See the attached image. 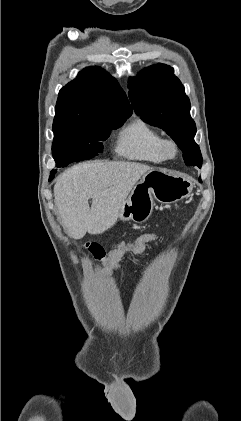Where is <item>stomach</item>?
<instances>
[{"label":"stomach","mask_w":241,"mask_h":421,"mask_svg":"<svg viewBox=\"0 0 241 421\" xmlns=\"http://www.w3.org/2000/svg\"><path fill=\"white\" fill-rule=\"evenodd\" d=\"M192 190L193 181L189 177L164 169H152L133 188L123 203L118 218L143 223L153 212L154 199L162 204L176 203L189 197Z\"/></svg>","instance_id":"0dacf381"}]
</instances>
